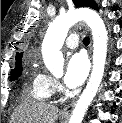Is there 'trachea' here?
<instances>
[{
  "label": "trachea",
  "mask_w": 122,
  "mask_h": 123,
  "mask_svg": "<svg viewBox=\"0 0 122 123\" xmlns=\"http://www.w3.org/2000/svg\"><path fill=\"white\" fill-rule=\"evenodd\" d=\"M89 41H90L89 37H85V38L83 39V43L86 44V45L89 44Z\"/></svg>",
  "instance_id": "obj_1"
}]
</instances>
